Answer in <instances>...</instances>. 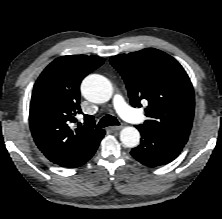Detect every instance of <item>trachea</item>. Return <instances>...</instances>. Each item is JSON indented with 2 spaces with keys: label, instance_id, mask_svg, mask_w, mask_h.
Returning <instances> with one entry per match:
<instances>
[{
  "label": "trachea",
  "instance_id": "3493384b",
  "mask_svg": "<svg viewBox=\"0 0 222 219\" xmlns=\"http://www.w3.org/2000/svg\"><path fill=\"white\" fill-rule=\"evenodd\" d=\"M120 123L116 119V117L112 115H106L104 116L98 123L97 129L104 128L107 126H113V125H119Z\"/></svg>",
  "mask_w": 222,
  "mask_h": 219
}]
</instances>
